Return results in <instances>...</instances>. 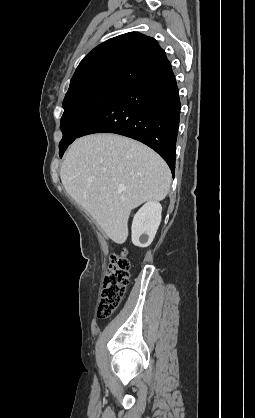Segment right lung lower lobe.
Segmentation results:
<instances>
[{
  "label": "right lung lower lobe",
  "mask_w": 255,
  "mask_h": 418,
  "mask_svg": "<svg viewBox=\"0 0 255 418\" xmlns=\"http://www.w3.org/2000/svg\"><path fill=\"white\" fill-rule=\"evenodd\" d=\"M179 121L180 98L170 67L126 86L88 122L77 138L116 133L136 139L155 150L174 176Z\"/></svg>",
  "instance_id": "obj_1"
}]
</instances>
